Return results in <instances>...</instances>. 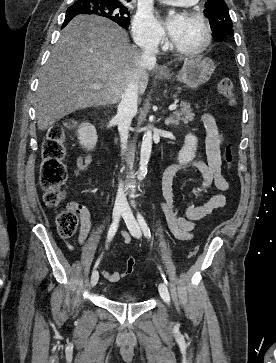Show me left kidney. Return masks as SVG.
I'll list each match as a JSON object with an SVG mask.
<instances>
[{
    "label": "left kidney",
    "instance_id": "obj_1",
    "mask_svg": "<svg viewBox=\"0 0 276 363\" xmlns=\"http://www.w3.org/2000/svg\"><path fill=\"white\" fill-rule=\"evenodd\" d=\"M197 142L196 136L192 134L186 135L184 145L178 153V161L180 164H187L195 158Z\"/></svg>",
    "mask_w": 276,
    "mask_h": 363
}]
</instances>
